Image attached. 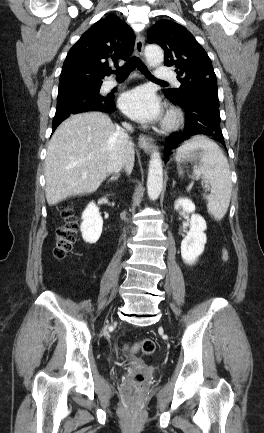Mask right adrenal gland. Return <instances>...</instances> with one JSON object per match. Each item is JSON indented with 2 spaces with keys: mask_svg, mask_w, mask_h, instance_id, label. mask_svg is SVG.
<instances>
[{
  "mask_svg": "<svg viewBox=\"0 0 264 433\" xmlns=\"http://www.w3.org/2000/svg\"><path fill=\"white\" fill-rule=\"evenodd\" d=\"M119 177H120L119 173L115 174L114 176H112L110 178V180H108V183L113 182V181H118Z\"/></svg>",
  "mask_w": 264,
  "mask_h": 433,
  "instance_id": "obj_1",
  "label": "right adrenal gland"
}]
</instances>
